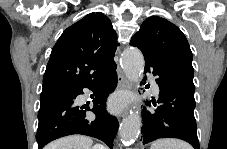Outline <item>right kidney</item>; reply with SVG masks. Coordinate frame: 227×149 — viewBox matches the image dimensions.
I'll use <instances>...</instances> for the list:
<instances>
[{
  "label": "right kidney",
  "instance_id": "right-kidney-1",
  "mask_svg": "<svg viewBox=\"0 0 227 149\" xmlns=\"http://www.w3.org/2000/svg\"><path fill=\"white\" fill-rule=\"evenodd\" d=\"M92 149H104L103 146L95 145Z\"/></svg>",
  "mask_w": 227,
  "mask_h": 149
}]
</instances>
